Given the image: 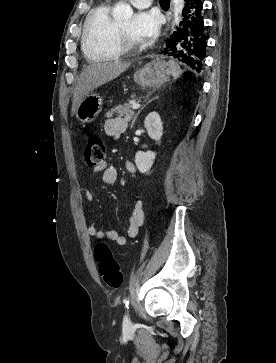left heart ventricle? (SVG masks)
Listing matches in <instances>:
<instances>
[{
  "label": "left heart ventricle",
  "mask_w": 276,
  "mask_h": 363,
  "mask_svg": "<svg viewBox=\"0 0 276 363\" xmlns=\"http://www.w3.org/2000/svg\"><path fill=\"white\" fill-rule=\"evenodd\" d=\"M132 17H129L128 19L118 22L120 28L122 29L125 37L134 44H139L140 41L137 40L134 35L131 32V24H132Z\"/></svg>",
  "instance_id": "left-heart-ventricle-1"
}]
</instances>
